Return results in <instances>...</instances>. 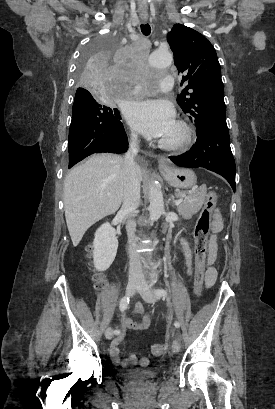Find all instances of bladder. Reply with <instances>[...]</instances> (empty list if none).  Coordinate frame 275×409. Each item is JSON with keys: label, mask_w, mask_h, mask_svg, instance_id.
Wrapping results in <instances>:
<instances>
[{"label": "bladder", "mask_w": 275, "mask_h": 409, "mask_svg": "<svg viewBox=\"0 0 275 409\" xmlns=\"http://www.w3.org/2000/svg\"><path fill=\"white\" fill-rule=\"evenodd\" d=\"M127 374L130 376L131 381L143 383H148L149 381L159 377V374L156 371H138L136 368H130L127 371ZM124 379H128V376H124Z\"/></svg>", "instance_id": "obj_1"}]
</instances>
